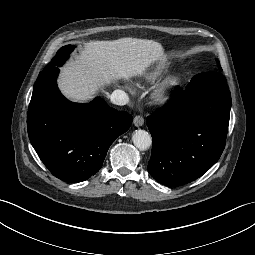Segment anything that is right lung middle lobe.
Segmentation results:
<instances>
[{
	"label": "right lung middle lobe",
	"mask_w": 255,
	"mask_h": 255,
	"mask_svg": "<svg viewBox=\"0 0 255 255\" xmlns=\"http://www.w3.org/2000/svg\"><path fill=\"white\" fill-rule=\"evenodd\" d=\"M74 49V46L67 45L61 47L58 51L55 57L51 60L49 64L44 69H52L57 66H61L65 60L69 57V53L72 52Z\"/></svg>",
	"instance_id": "1"
}]
</instances>
